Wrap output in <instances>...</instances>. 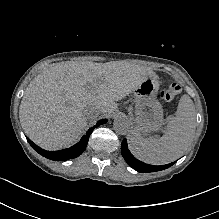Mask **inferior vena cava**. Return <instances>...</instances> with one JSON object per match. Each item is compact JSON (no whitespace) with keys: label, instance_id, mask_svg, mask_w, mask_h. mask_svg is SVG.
<instances>
[{"label":"inferior vena cava","instance_id":"inferior-vena-cava-1","mask_svg":"<svg viewBox=\"0 0 219 219\" xmlns=\"http://www.w3.org/2000/svg\"><path fill=\"white\" fill-rule=\"evenodd\" d=\"M103 111L100 108H93L91 111H89L86 114V121L89 124H96L98 121H100L103 118Z\"/></svg>","mask_w":219,"mask_h":219}]
</instances>
